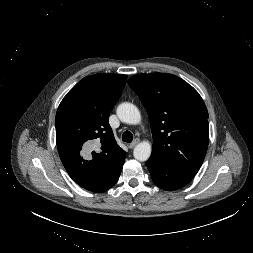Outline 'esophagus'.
<instances>
[{"label": "esophagus", "mask_w": 253, "mask_h": 253, "mask_svg": "<svg viewBox=\"0 0 253 253\" xmlns=\"http://www.w3.org/2000/svg\"><path fill=\"white\" fill-rule=\"evenodd\" d=\"M140 142L139 139H135L132 143L129 144V148H134Z\"/></svg>", "instance_id": "1"}]
</instances>
